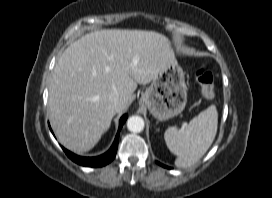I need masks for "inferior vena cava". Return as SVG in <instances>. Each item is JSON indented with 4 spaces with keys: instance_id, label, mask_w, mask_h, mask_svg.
Masks as SVG:
<instances>
[{
    "instance_id": "obj_1",
    "label": "inferior vena cava",
    "mask_w": 272,
    "mask_h": 198,
    "mask_svg": "<svg viewBox=\"0 0 272 198\" xmlns=\"http://www.w3.org/2000/svg\"><path fill=\"white\" fill-rule=\"evenodd\" d=\"M109 100L114 104H118V102L120 101L119 92L117 90H114L113 92H111L109 95Z\"/></svg>"
}]
</instances>
